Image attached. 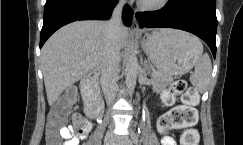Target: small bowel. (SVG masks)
Segmentation results:
<instances>
[{
  "mask_svg": "<svg viewBox=\"0 0 243 145\" xmlns=\"http://www.w3.org/2000/svg\"><path fill=\"white\" fill-rule=\"evenodd\" d=\"M81 117L79 114L75 113L73 114V122L75 123V120ZM82 118V117H81ZM75 125V124H74ZM89 132V131H88ZM88 132L85 133H74L73 127L71 125L65 126L61 130V137L63 139L62 145H78L80 140L84 139ZM161 145H176V142L173 137L169 135H165L161 139Z\"/></svg>",
  "mask_w": 243,
  "mask_h": 145,
  "instance_id": "c3829d8e",
  "label": "small bowel"
}]
</instances>
